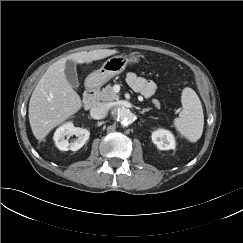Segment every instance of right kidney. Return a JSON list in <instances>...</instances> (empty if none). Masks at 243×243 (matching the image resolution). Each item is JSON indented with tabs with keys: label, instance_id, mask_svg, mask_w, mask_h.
I'll return each instance as SVG.
<instances>
[{
	"label": "right kidney",
	"instance_id": "obj_1",
	"mask_svg": "<svg viewBox=\"0 0 243 243\" xmlns=\"http://www.w3.org/2000/svg\"><path fill=\"white\" fill-rule=\"evenodd\" d=\"M73 135L77 137L74 141L69 142L68 139L65 138H69ZM89 135L90 132L87 129L74 127L72 122H67L55 131L53 139L58 149L62 151H77L86 143L89 139Z\"/></svg>",
	"mask_w": 243,
	"mask_h": 243
}]
</instances>
